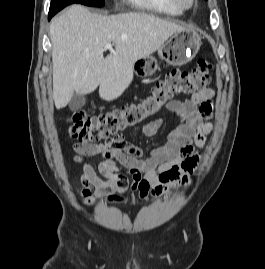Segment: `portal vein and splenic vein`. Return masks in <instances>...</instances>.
<instances>
[{
  "mask_svg": "<svg viewBox=\"0 0 265 269\" xmlns=\"http://www.w3.org/2000/svg\"><path fill=\"white\" fill-rule=\"evenodd\" d=\"M104 49H105V50H107V49H108V50H110V52H112V53L114 52V50H113V48H112V44H111V43H107V44L105 45Z\"/></svg>",
  "mask_w": 265,
  "mask_h": 269,
  "instance_id": "18ae733b",
  "label": "portal vein and splenic vein"
}]
</instances>
